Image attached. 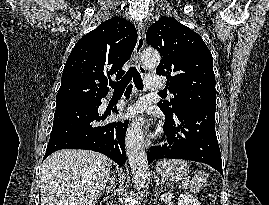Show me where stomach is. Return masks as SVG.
<instances>
[{
  "mask_svg": "<svg viewBox=\"0 0 269 205\" xmlns=\"http://www.w3.org/2000/svg\"><path fill=\"white\" fill-rule=\"evenodd\" d=\"M155 170L163 179L175 182L184 180L189 173L187 163L182 160H165L159 162Z\"/></svg>",
  "mask_w": 269,
  "mask_h": 205,
  "instance_id": "0dacf381",
  "label": "stomach"
}]
</instances>
